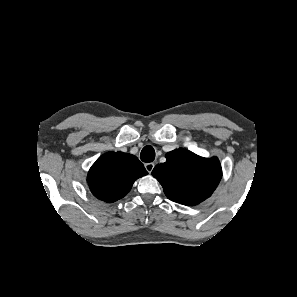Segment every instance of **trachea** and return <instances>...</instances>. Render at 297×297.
I'll list each match as a JSON object with an SVG mask.
<instances>
[{
  "mask_svg": "<svg viewBox=\"0 0 297 297\" xmlns=\"http://www.w3.org/2000/svg\"><path fill=\"white\" fill-rule=\"evenodd\" d=\"M140 158L143 162L149 163L154 161L155 158V150L152 146H145L140 154Z\"/></svg>",
  "mask_w": 297,
  "mask_h": 297,
  "instance_id": "obj_1",
  "label": "trachea"
}]
</instances>
